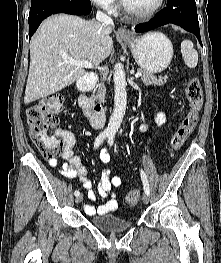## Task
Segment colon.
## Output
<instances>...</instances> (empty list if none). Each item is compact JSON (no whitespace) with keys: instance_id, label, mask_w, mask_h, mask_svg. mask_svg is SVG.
<instances>
[{"instance_id":"1","label":"colon","mask_w":221,"mask_h":263,"mask_svg":"<svg viewBox=\"0 0 221 263\" xmlns=\"http://www.w3.org/2000/svg\"><path fill=\"white\" fill-rule=\"evenodd\" d=\"M189 108L177 131L171 139V150L179 149L193 133L203 104V92L199 81L190 78L186 86ZM63 107V95L53 93L40 99L27 111L30 137L35 146L47 159H56L63 154L62 131L58 128L57 114ZM140 201V191L127 193L125 203L135 206Z\"/></svg>"}]
</instances>
